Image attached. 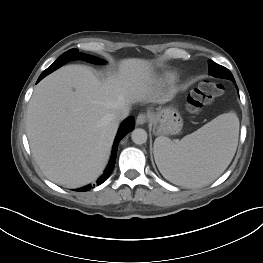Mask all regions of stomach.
Returning <instances> with one entry per match:
<instances>
[{"instance_id": "stomach-1", "label": "stomach", "mask_w": 263, "mask_h": 263, "mask_svg": "<svg viewBox=\"0 0 263 263\" xmlns=\"http://www.w3.org/2000/svg\"><path fill=\"white\" fill-rule=\"evenodd\" d=\"M151 123L156 135L176 134L180 132L183 126L179 112L171 107L152 112Z\"/></svg>"}]
</instances>
